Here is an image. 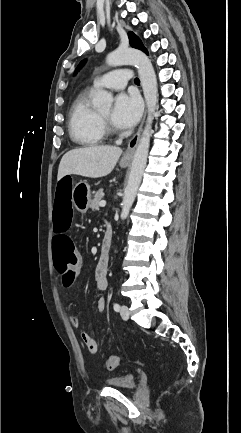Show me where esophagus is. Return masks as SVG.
Here are the masks:
<instances>
[{"label":"esophagus","instance_id":"34e87169","mask_svg":"<svg viewBox=\"0 0 241 433\" xmlns=\"http://www.w3.org/2000/svg\"><path fill=\"white\" fill-rule=\"evenodd\" d=\"M145 116H146V110L144 112V116H143L142 122H141V124L139 126V129H138L137 133L130 139V141L128 143L126 151H125V153H124V155L122 157L123 160H130V159H132L134 151H135V148H136V146L138 144V141H139V137H140V134H141V131H142L143 123H144V120H145Z\"/></svg>","mask_w":241,"mask_h":433}]
</instances>
